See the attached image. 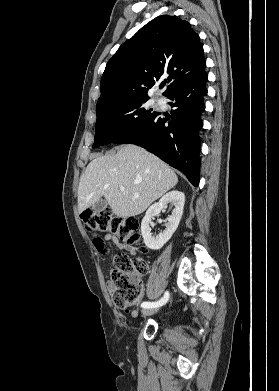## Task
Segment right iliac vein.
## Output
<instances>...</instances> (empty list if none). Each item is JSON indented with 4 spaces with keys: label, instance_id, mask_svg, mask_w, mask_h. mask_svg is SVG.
<instances>
[{
    "label": "right iliac vein",
    "instance_id": "1",
    "mask_svg": "<svg viewBox=\"0 0 279 391\" xmlns=\"http://www.w3.org/2000/svg\"><path fill=\"white\" fill-rule=\"evenodd\" d=\"M157 312H158L157 308H146V309L142 310V315L143 316H149V315H153V314H155Z\"/></svg>",
    "mask_w": 279,
    "mask_h": 391
}]
</instances>
